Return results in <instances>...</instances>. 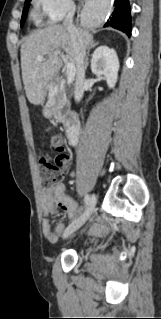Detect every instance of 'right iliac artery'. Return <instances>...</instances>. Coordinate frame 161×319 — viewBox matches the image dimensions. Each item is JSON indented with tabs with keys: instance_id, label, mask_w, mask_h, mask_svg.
<instances>
[{
	"instance_id": "82829eb1",
	"label": "right iliac artery",
	"mask_w": 161,
	"mask_h": 319,
	"mask_svg": "<svg viewBox=\"0 0 161 319\" xmlns=\"http://www.w3.org/2000/svg\"><path fill=\"white\" fill-rule=\"evenodd\" d=\"M84 201H85V205L88 206V205H89V202H90V197H89V195H85Z\"/></svg>"
}]
</instances>
